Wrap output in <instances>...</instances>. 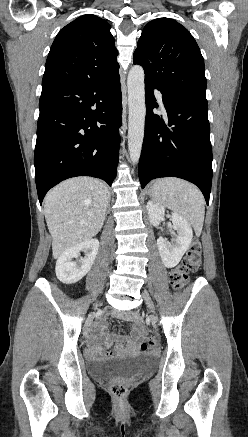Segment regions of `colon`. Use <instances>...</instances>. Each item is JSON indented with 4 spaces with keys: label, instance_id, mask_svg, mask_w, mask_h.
<instances>
[{
    "label": "colon",
    "instance_id": "obj_1",
    "mask_svg": "<svg viewBox=\"0 0 248 437\" xmlns=\"http://www.w3.org/2000/svg\"><path fill=\"white\" fill-rule=\"evenodd\" d=\"M201 263V244L198 240H193L190 244L188 251L186 252L181 264L170 271L169 282L175 290H181L189 274L194 272ZM157 344L154 337L146 338L141 344L142 351H150ZM112 394L119 400L125 398L127 394V388L125 384L121 382H111L109 385Z\"/></svg>",
    "mask_w": 248,
    "mask_h": 437
}]
</instances>
